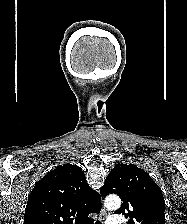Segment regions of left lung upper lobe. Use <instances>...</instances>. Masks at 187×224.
<instances>
[{
  "label": "left lung upper lobe",
  "instance_id": "obj_1",
  "mask_svg": "<svg viewBox=\"0 0 187 224\" xmlns=\"http://www.w3.org/2000/svg\"><path fill=\"white\" fill-rule=\"evenodd\" d=\"M103 197L115 193L122 199L115 212L129 220L126 224H165V201L160 187L133 164H117L100 189Z\"/></svg>",
  "mask_w": 187,
  "mask_h": 224
}]
</instances>
